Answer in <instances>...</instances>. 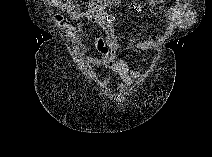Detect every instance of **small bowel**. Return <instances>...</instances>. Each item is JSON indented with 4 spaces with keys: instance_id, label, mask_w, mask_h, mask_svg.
Here are the masks:
<instances>
[{
    "instance_id": "obj_1",
    "label": "small bowel",
    "mask_w": 212,
    "mask_h": 157,
    "mask_svg": "<svg viewBox=\"0 0 212 157\" xmlns=\"http://www.w3.org/2000/svg\"><path fill=\"white\" fill-rule=\"evenodd\" d=\"M46 3L51 8L66 13L70 20L75 22L74 25L59 14L54 16V21L68 33L73 41L83 36L94 45L101 57L86 56V60L90 64L103 66L111 73L117 75L120 78L119 89H127L136 79L142 77L140 69L130 68L125 60L118 57L124 48V44L120 42L115 34L111 10L118 8L121 0L88 2L83 8L72 0H48ZM135 4L137 7L140 6V3ZM165 18L173 24L180 25L184 23L187 20V6L179 4L168 8L165 12ZM86 23L96 24L102 30L104 36L88 33ZM130 45L139 50H147L154 48L157 45V41L153 39L144 40ZM110 83L111 78L108 77L100 82V86L107 88Z\"/></svg>"
}]
</instances>
